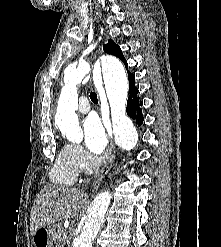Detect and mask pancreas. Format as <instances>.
Here are the masks:
<instances>
[{
	"label": "pancreas",
	"instance_id": "1",
	"mask_svg": "<svg viewBox=\"0 0 221 247\" xmlns=\"http://www.w3.org/2000/svg\"><path fill=\"white\" fill-rule=\"evenodd\" d=\"M53 229V240L55 247H63L65 243V238L63 235V228L60 225H56Z\"/></svg>",
	"mask_w": 221,
	"mask_h": 247
}]
</instances>
